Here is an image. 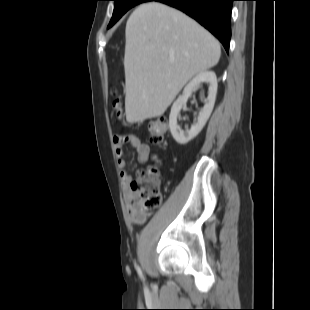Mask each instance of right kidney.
Listing matches in <instances>:
<instances>
[{"label":"right kidney","mask_w":310,"mask_h":310,"mask_svg":"<svg viewBox=\"0 0 310 310\" xmlns=\"http://www.w3.org/2000/svg\"><path fill=\"white\" fill-rule=\"evenodd\" d=\"M209 83L208 97L204 107L199 112L197 123L193 124L190 129L185 131L177 124V117L182 107L186 105L188 98L191 96L194 89L201 83ZM217 93V78L213 71H204L197 74L184 88L182 95L173 103L169 115V128L174 140L181 145L187 144L195 138L205 126L214 107Z\"/></svg>","instance_id":"right-kidney-1"}]
</instances>
